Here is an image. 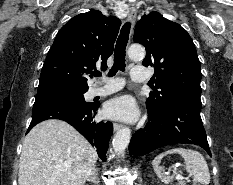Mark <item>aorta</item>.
<instances>
[{
  "instance_id": "obj_1",
  "label": "aorta",
  "mask_w": 233,
  "mask_h": 185,
  "mask_svg": "<svg viewBox=\"0 0 233 185\" xmlns=\"http://www.w3.org/2000/svg\"><path fill=\"white\" fill-rule=\"evenodd\" d=\"M128 57L133 61H141L145 57V48L141 45H131L128 48ZM131 139V130L128 127L121 128L113 139V149L117 155H122Z\"/></svg>"
}]
</instances>
